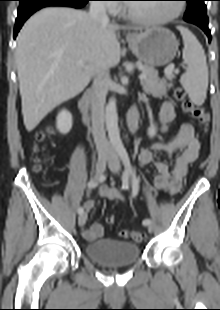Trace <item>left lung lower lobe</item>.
Listing matches in <instances>:
<instances>
[{"mask_svg": "<svg viewBox=\"0 0 220 310\" xmlns=\"http://www.w3.org/2000/svg\"><path fill=\"white\" fill-rule=\"evenodd\" d=\"M192 24H195L198 27H200L206 33V35L208 36L209 42L211 41V34H210V30L208 28V24H205V23H192Z\"/></svg>", "mask_w": 220, "mask_h": 310, "instance_id": "1", "label": "left lung lower lobe"}]
</instances>
